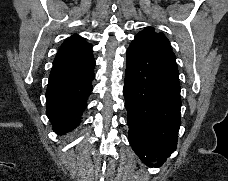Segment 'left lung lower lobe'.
Returning <instances> with one entry per match:
<instances>
[{
  "instance_id": "left-lung-lower-lobe-1",
  "label": "left lung lower lobe",
  "mask_w": 228,
  "mask_h": 181,
  "mask_svg": "<svg viewBox=\"0 0 228 181\" xmlns=\"http://www.w3.org/2000/svg\"><path fill=\"white\" fill-rule=\"evenodd\" d=\"M124 83L129 140L147 165L177 148L181 125L179 72L171 48L135 37L127 49Z\"/></svg>"
}]
</instances>
